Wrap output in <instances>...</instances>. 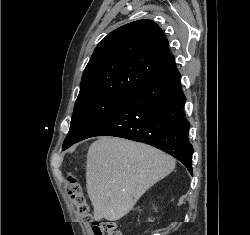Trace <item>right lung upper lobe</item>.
I'll return each instance as SVG.
<instances>
[{
    "instance_id": "obj_1",
    "label": "right lung upper lobe",
    "mask_w": 250,
    "mask_h": 235,
    "mask_svg": "<svg viewBox=\"0 0 250 235\" xmlns=\"http://www.w3.org/2000/svg\"><path fill=\"white\" fill-rule=\"evenodd\" d=\"M173 59L155 22L128 23L97 45L84 70L77 99L95 93L134 94L167 69Z\"/></svg>"
}]
</instances>
